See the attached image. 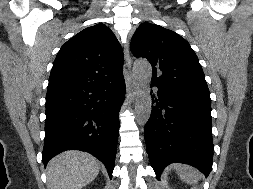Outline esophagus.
<instances>
[{
  "instance_id": "1",
  "label": "esophagus",
  "mask_w": 253,
  "mask_h": 189,
  "mask_svg": "<svg viewBox=\"0 0 253 189\" xmlns=\"http://www.w3.org/2000/svg\"><path fill=\"white\" fill-rule=\"evenodd\" d=\"M124 54H125V61L128 67L131 66V58L129 55V45L128 43L125 44V49H124ZM137 91H138V84L135 80H133V85H132V98L136 99L137 98Z\"/></svg>"
}]
</instances>
